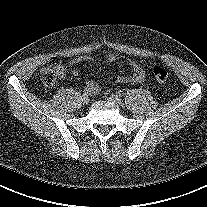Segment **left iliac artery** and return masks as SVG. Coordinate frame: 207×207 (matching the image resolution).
Listing matches in <instances>:
<instances>
[{
  "label": "left iliac artery",
  "mask_w": 207,
  "mask_h": 207,
  "mask_svg": "<svg viewBox=\"0 0 207 207\" xmlns=\"http://www.w3.org/2000/svg\"><path fill=\"white\" fill-rule=\"evenodd\" d=\"M124 95V92L122 90H119L117 92V96L122 97Z\"/></svg>",
  "instance_id": "44dca946"
}]
</instances>
